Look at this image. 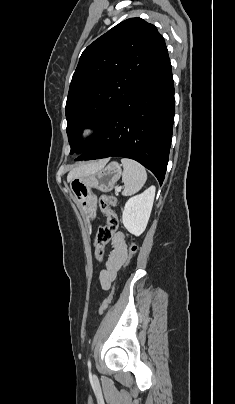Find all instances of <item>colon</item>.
Listing matches in <instances>:
<instances>
[{"label":"colon","instance_id":"5ec220e1","mask_svg":"<svg viewBox=\"0 0 235 404\" xmlns=\"http://www.w3.org/2000/svg\"><path fill=\"white\" fill-rule=\"evenodd\" d=\"M116 198L111 195H103L99 198V207L101 212L106 217V224L101 226L95 238V257L97 261L101 262L104 256V250L106 245L112 240L114 234L118 229V218L112 209V206L116 204ZM137 244L131 242L129 247V258H131L137 252ZM113 300V293H111L99 307V314H103Z\"/></svg>","mask_w":235,"mask_h":404}]
</instances>
